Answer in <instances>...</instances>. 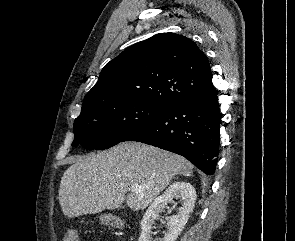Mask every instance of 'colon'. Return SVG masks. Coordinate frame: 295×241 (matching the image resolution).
<instances>
[{
  "instance_id": "1",
  "label": "colon",
  "mask_w": 295,
  "mask_h": 241,
  "mask_svg": "<svg viewBox=\"0 0 295 241\" xmlns=\"http://www.w3.org/2000/svg\"><path fill=\"white\" fill-rule=\"evenodd\" d=\"M106 223H109L116 228L122 227V222L119 219L114 217H108L106 219ZM64 241H78V231L69 230L65 235Z\"/></svg>"
}]
</instances>
